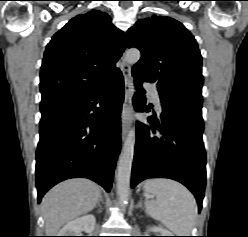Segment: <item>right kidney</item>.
<instances>
[{
	"mask_svg": "<svg viewBox=\"0 0 248 237\" xmlns=\"http://www.w3.org/2000/svg\"><path fill=\"white\" fill-rule=\"evenodd\" d=\"M96 223L95 216L88 214L68 222L59 232L58 236H80L82 230L91 233Z\"/></svg>",
	"mask_w": 248,
	"mask_h": 237,
	"instance_id": "1",
	"label": "right kidney"
}]
</instances>
